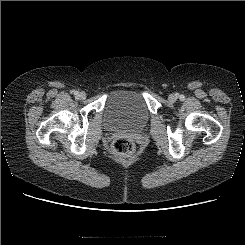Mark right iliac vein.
<instances>
[{
    "label": "right iliac vein",
    "mask_w": 245,
    "mask_h": 245,
    "mask_svg": "<svg viewBox=\"0 0 245 245\" xmlns=\"http://www.w3.org/2000/svg\"><path fill=\"white\" fill-rule=\"evenodd\" d=\"M78 98L81 99V100L85 99L86 98V93L84 91L79 92L78 93Z\"/></svg>",
    "instance_id": "1"
}]
</instances>
